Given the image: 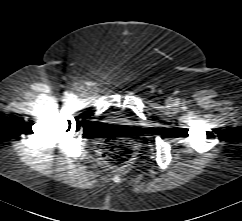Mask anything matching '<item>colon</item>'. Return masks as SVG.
<instances>
[{
	"instance_id": "obj_1",
	"label": "colon",
	"mask_w": 242,
	"mask_h": 221,
	"mask_svg": "<svg viewBox=\"0 0 242 221\" xmlns=\"http://www.w3.org/2000/svg\"><path fill=\"white\" fill-rule=\"evenodd\" d=\"M133 145L129 141L109 140L103 145V155L112 167L125 166L133 157Z\"/></svg>"
}]
</instances>
